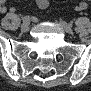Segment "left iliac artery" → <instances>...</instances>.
Returning a JSON list of instances; mask_svg holds the SVG:
<instances>
[{
    "mask_svg": "<svg viewBox=\"0 0 91 91\" xmlns=\"http://www.w3.org/2000/svg\"><path fill=\"white\" fill-rule=\"evenodd\" d=\"M67 26H68L69 28H73V27H74V22H73V21L68 22V23H67Z\"/></svg>",
    "mask_w": 91,
    "mask_h": 91,
    "instance_id": "1",
    "label": "left iliac artery"
}]
</instances>
